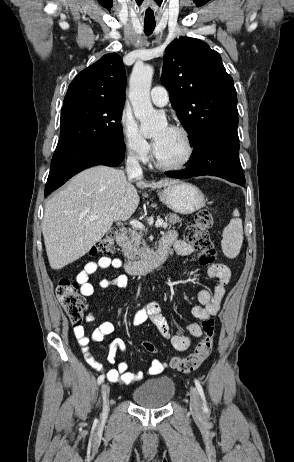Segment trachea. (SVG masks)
<instances>
[{"label": "trachea", "instance_id": "1", "mask_svg": "<svg viewBox=\"0 0 294 462\" xmlns=\"http://www.w3.org/2000/svg\"><path fill=\"white\" fill-rule=\"evenodd\" d=\"M155 23L153 22H145L144 23V32L146 35H150L152 34V32L154 31V28H155Z\"/></svg>", "mask_w": 294, "mask_h": 462}]
</instances>
